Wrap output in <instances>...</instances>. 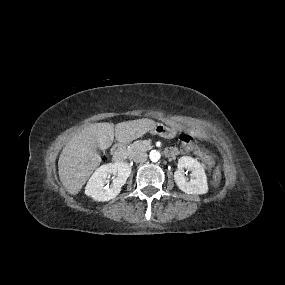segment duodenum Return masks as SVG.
<instances>
[{
    "mask_svg": "<svg viewBox=\"0 0 285 285\" xmlns=\"http://www.w3.org/2000/svg\"><path fill=\"white\" fill-rule=\"evenodd\" d=\"M170 148V147H169ZM165 154L168 157H174L176 156V153L173 150H165ZM113 159L115 162H122L126 158V151H125V145L123 143H116L113 147L112 151Z\"/></svg>",
    "mask_w": 285,
    "mask_h": 285,
    "instance_id": "obj_1",
    "label": "duodenum"
}]
</instances>
